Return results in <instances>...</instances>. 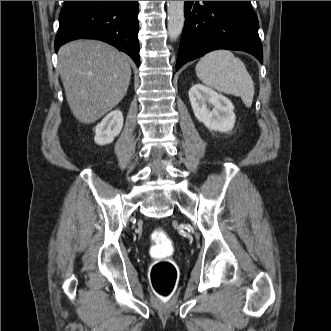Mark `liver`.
I'll return each instance as SVG.
<instances>
[{
  "label": "liver",
  "instance_id": "liver-1",
  "mask_svg": "<svg viewBox=\"0 0 331 331\" xmlns=\"http://www.w3.org/2000/svg\"><path fill=\"white\" fill-rule=\"evenodd\" d=\"M61 80L75 118L90 124L125 96L131 68L125 55L97 40H75L58 52Z\"/></svg>",
  "mask_w": 331,
  "mask_h": 331
}]
</instances>
